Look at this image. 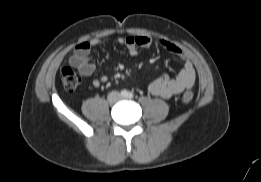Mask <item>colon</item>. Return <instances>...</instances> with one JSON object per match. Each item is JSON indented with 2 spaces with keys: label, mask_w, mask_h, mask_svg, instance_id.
Masks as SVG:
<instances>
[{
  "label": "colon",
  "mask_w": 261,
  "mask_h": 182,
  "mask_svg": "<svg viewBox=\"0 0 261 182\" xmlns=\"http://www.w3.org/2000/svg\"><path fill=\"white\" fill-rule=\"evenodd\" d=\"M60 78L64 88L69 92H73L77 90L81 84L80 75L69 67H65L61 70ZM192 98H193V93L190 91H186L182 96L184 102H190Z\"/></svg>",
  "instance_id": "5ec220e1"
}]
</instances>
